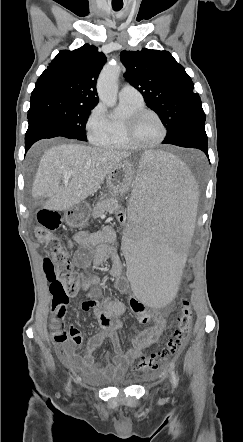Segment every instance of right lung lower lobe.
Instances as JSON below:
<instances>
[{"label":"right lung lower lobe","mask_w":243,"mask_h":442,"mask_svg":"<svg viewBox=\"0 0 243 442\" xmlns=\"http://www.w3.org/2000/svg\"><path fill=\"white\" fill-rule=\"evenodd\" d=\"M66 137L71 139L70 135L64 129L44 121H33L29 123L25 135V152L38 140L53 137Z\"/></svg>","instance_id":"right-lung-lower-lobe-1"}]
</instances>
